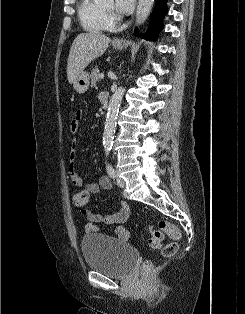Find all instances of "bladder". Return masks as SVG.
<instances>
[{
  "label": "bladder",
  "instance_id": "31cf9c89",
  "mask_svg": "<svg viewBox=\"0 0 245 314\" xmlns=\"http://www.w3.org/2000/svg\"><path fill=\"white\" fill-rule=\"evenodd\" d=\"M81 247L87 267L109 276L127 274L139 256L130 245L99 234L85 235Z\"/></svg>",
  "mask_w": 245,
  "mask_h": 314
}]
</instances>
